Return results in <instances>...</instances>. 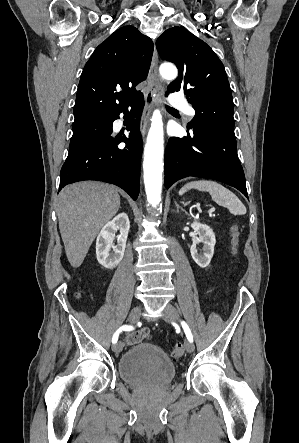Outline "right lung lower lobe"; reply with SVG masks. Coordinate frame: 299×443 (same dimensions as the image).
I'll use <instances>...</instances> for the list:
<instances>
[{"mask_svg":"<svg viewBox=\"0 0 299 443\" xmlns=\"http://www.w3.org/2000/svg\"><path fill=\"white\" fill-rule=\"evenodd\" d=\"M144 105L143 98L120 111L103 116L107 122L105 134L95 136L70 151L60 173V188L83 180L112 183L125 190L136 200L140 188V163L142 139L139 119ZM124 113L128 121L129 137L112 136L113 121ZM136 118V119H135ZM125 142V147L118 144Z\"/></svg>","mask_w":299,"mask_h":443,"instance_id":"98d812e1","label":"right lung lower lobe"}]
</instances>
